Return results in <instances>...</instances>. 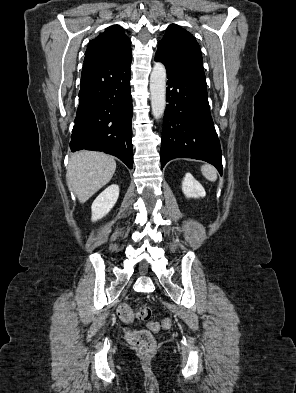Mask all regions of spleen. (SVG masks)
<instances>
[{"instance_id": "spleen-1", "label": "spleen", "mask_w": 296, "mask_h": 393, "mask_svg": "<svg viewBox=\"0 0 296 393\" xmlns=\"http://www.w3.org/2000/svg\"><path fill=\"white\" fill-rule=\"evenodd\" d=\"M201 172L203 176L210 180V181H215L217 179V172L216 169L208 164H205L201 167Z\"/></svg>"}]
</instances>
